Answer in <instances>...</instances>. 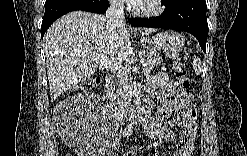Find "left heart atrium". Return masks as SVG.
I'll return each instance as SVG.
<instances>
[{"instance_id":"1","label":"left heart atrium","mask_w":247,"mask_h":156,"mask_svg":"<svg viewBox=\"0 0 247 156\" xmlns=\"http://www.w3.org/2000/svg\"><path fill=\"white\" fill-rule=\"evenodd\" d=\"M142 1L141 0H129L128 3L131 5H138L140 4Z\"/></svg>"}]
</instances>
